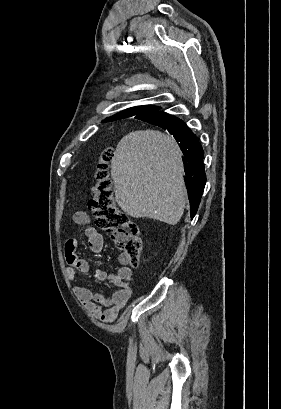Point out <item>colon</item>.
Segmentation results:
<instances>
[{"instance_id": "colon-1", "label": "colon", "mask_w": 281, "mask_h": 409, "mask_svg": "<svg viewBox=\"0 0 281 409\" xmlns=\"http://www.w3.org/2000/svg\"><path fill=\"white\" fill-rule=\"evenodd\" d=\"M112 157V150L104 149L95 161V184L90 205L95 225L112 236L121 260L128 265L137 266L142 248L139 227L116 204L109 171Z\"/></svg>"}]
</instances>
